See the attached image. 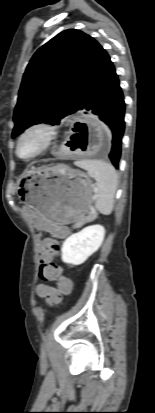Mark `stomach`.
<instances>
[{"instance_id":"obj_1","label":"stomach","mask_w":155,"mask_h":413,"mask_svg":"<svg viewBox=\"0 0 155 413\" xmlns=\"http://www.w3.org/2000/svg\"><path fill=\"white\" fill-rule=\"evenodd\" d=\"M94 189L84 172L59 164L28 170L20 179L17 193L48 222L69 224L88 214L96 199Z\"/></svg>"}]
</instances>
